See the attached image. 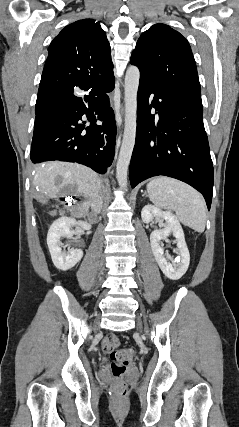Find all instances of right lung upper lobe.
Wrapping results in <instances>:
<instances>
[{
	"mask_svg": "<svg viewBox=\"0 0 239 427\" xmlns=\"http://www.w3.org/2000/svg\"><path fill=\"white\" fill-rule=\"evenodd\" d=\"M37 99L69 88L92 87L113 76L105 31L92 19L66 26L51 42Z\"/></svg>",
	"mask_w": 239,
	"mask_h": 427,
	"instance_id": "1",
	"label": "right lung upper lobe"
}]
</instances>
